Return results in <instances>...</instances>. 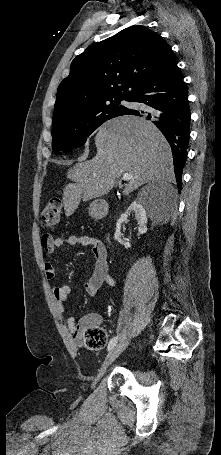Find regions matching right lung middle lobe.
<instances>
[{
	"label": "right lung middle lobe",
	"mask_w": 221,
	"mask_h": 455,
	"mask_svg": "<svg viewBox=\"0 0 221 455\" xmlns=\"http://www.w3.org/2000/svg\"><path fill=\"white\" fill-rule=\"evenodd\" d=\"M122 100L130 101V98L110 99L54 122L52 126L53 150L69 152L85 144L87 137L101 124L111 118L124 115L129 110L120 105Z\"/></svg>",
	"instance_id": "dd1d6c3e"
}]
</instances>
